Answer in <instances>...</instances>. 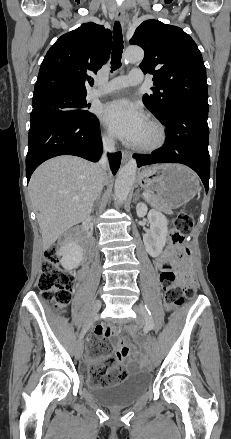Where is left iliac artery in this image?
<instances>
[{"label": "left iliac artery", "mask_w": 231, "mask_h": 439, "mask_svg": "<svg viewBox=\"0 0 231 439\" xmlns=\"http://www.w3.org/2000/svg\"><path fill=\"white\" fill-rule=\"evenodd\" d=\"M145 310H146V315H145V319H146V326L149 329H153L154 324H153V320L151 317V312L150 310L145 306Z\"/></svg>", "instance_id": "44dca946"}]
</instances>
